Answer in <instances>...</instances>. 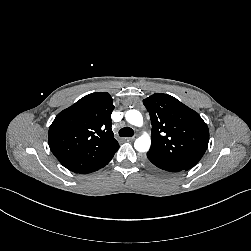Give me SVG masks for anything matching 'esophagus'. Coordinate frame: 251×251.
I'll return each instance as SVG.
<instances>
[{
	"label": "esophagus",
	"instance_id": "obj_1",
	"mask_svg": "<svg viewBox=\"0 0 251 251\" xmlns=\"http://www.w3.org/2000/svg\"><path fill=\"white\" fill-rule=\"evenodd\" d=\"M136 138H137V135H134V136L128 137L126 139H127V141H134Z\"/></svg>",
	"mask_w": 251,
	"mask_h": 251
}]
</instances>
